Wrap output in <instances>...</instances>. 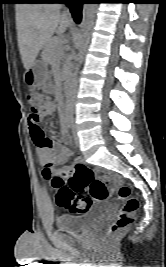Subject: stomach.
I'll use <instances>...</instances> for the list:
<instances>
[{"label":"stomach","instance_id":"obj_1","mask_svg":"<svg viewBox=\"0 0 166 267\" xmlns=\"http://www.w3.org/2000/svg\"><path fill=\"white\" fill-rule=\"evenodd\" d=\"M23 79L29 87L43 86L48 79L47 64L40 60L35 61L31 67L26 69Z\"/></svg>","mask_w":166,"mask_h":267}]
</instances>
